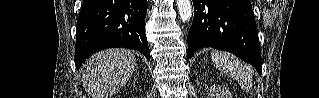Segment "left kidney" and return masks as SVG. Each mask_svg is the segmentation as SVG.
<instances>
[{"label": "left kidney", "instance_id": "5707ae66", "mask_svg": "<svg viewBox=\"0 0 319 98\" xmlns=\"http://www.w3.org/2000/svg\"><path fill=\"white\" fill-rule=\"evenodd\" d=\"M208 95L209 98H232L228 88L220 85L211 86Z\"/></svg>", "mask_w": 319, "mask_h": 98}]
</instances>
